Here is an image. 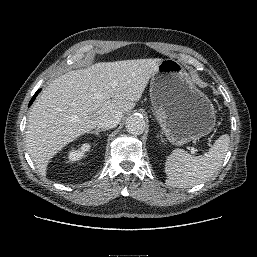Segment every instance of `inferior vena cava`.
<instances>
[{"mask_svg": "<svg viewBox=\"0 0 257 257\" xmlns=\"http://www.w3.org/2000/svg\"><path fill=\"white\" fill-rule=\"evenodd\" d=\"M122 113L118 110H111L101 115L96 125L102 129H111L116 127L122 119Z\"/></svg>", "mask_w": 257, "mask_h": 257, "instance_id": "inferior-vena-cava-1", "label": "inferior vena cava"}]
</instances>
